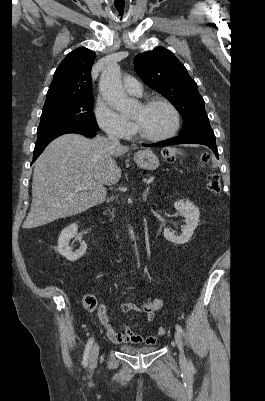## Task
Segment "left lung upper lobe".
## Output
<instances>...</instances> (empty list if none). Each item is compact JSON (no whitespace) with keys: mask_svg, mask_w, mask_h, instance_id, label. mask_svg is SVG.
<instances>
[{"mask_svg":"<svg viewBox=\"0 0 265 401\" xmlns=\"http://www.w3.org/2000/svg\"><path fill=\"white\" fill-rule=\"evenodd\" d=\"M133 63L143 82L166 97L181 114L180 134L210 125L196 82L172 52L158 47L137 55Z\"/></svg>","mask_w":265,"mask_h":401,"instance_id":"1","label":"left lung upper lobe"}]
</instances>
